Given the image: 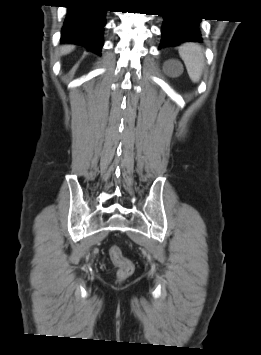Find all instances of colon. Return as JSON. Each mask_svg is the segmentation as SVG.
Instances as JSON below:
<instances>
[{"instance_id":"1","label":"colon","mask_w":261,"mask_h":355,"mask_svg":"<svg viewBox=\"0 0 261 355\" xmlns=\"http://www.w3.org/2000/svg\"><path fill=\"white\" fill-rule=\"evenodd\" d=\"M109 256L112 263L118 267L117 276L119 279H125L134 271V264L126 258L120 248L113 245L109 249Z\"/></svg>"}]
</instances>
